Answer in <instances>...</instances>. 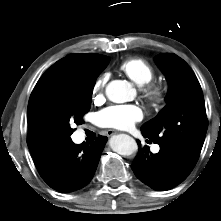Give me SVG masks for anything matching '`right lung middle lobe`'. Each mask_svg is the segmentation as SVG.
I'll return each instance as SVG.
<instances>
[{
  "label": "right lung middle lobe",
  "instance_id": "obj_1",
  "mask_svg": "<svg viewBox=\"0 0 221 221\" xmlns=\"http://www.w3.org/2000/svg\"><path fill=\"white\" fill-rule=\"evenodd\" d=\"M109 63V57L82 67L54 87L34 108L28 120V147L32 153L58 147L71 141L75 129L71 123H83L90 110L91 97L98 75Z\"/></svg>",
  "mask_w": 221,
  "mask_h": 221
}]
</instances>
